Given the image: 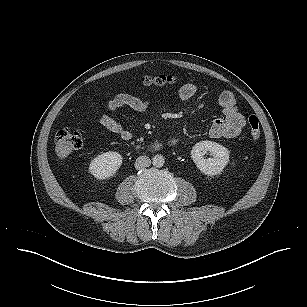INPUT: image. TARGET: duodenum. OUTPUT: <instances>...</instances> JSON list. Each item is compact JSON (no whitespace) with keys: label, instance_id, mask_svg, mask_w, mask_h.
I'll use <instances>...</instances> for the list:
<instances>
[{"label":"duodenum","instance_id":"obj_1","mask_svg":"<svg viewBox=\"0 0 307 307\" xmlns=\"http://www.w3.org/2000/svg\"><path fill=\"white\" fill-rule=\"evenodd\" d=\"M150 149L152 150H159L160 146L158 144H152L150 146H148Z\"/></svg>","mask_w":307,"mask_h":307}]
</instances>
